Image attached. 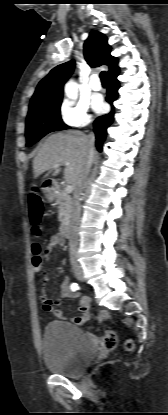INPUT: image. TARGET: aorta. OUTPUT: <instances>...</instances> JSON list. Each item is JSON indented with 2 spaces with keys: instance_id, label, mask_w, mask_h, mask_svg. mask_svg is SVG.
I'll list each match as a JSON object with an SVG mask.
<instances>
[{
  "instance_id": "obj_1",
  "label": "aorta",
  "mask_w": 168,
  "mask_h": 415,
  "mask_svg": "<svg viewBox=\"0 0 168 415\" xmlns=\"http://www.w3.org/2000/svg\"><path fill=\"white\" fill-rule=\"evenodd\" d=\"M66 95L69 98L75 99L77 97L76 85L74 82H69L65 88Z\"/></svg>"
}]
</instances>
